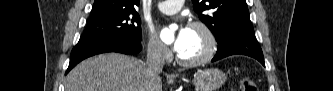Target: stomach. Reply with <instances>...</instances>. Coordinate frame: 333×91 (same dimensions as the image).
<instances>
[{"label":"stomach","mask_w":333,"mask_h":91,"mask_svg":"<svg viewBox=\"0 0 333 91\" xmlns=\"http://www.w3.org/2000/svg\"><path fill=\"white\" fill-rule=\"evenodd\" d=\"M225 74L218 69H206L198 72L194 77L196 91H216L225 82Z\"/></svg>","instance_id":"1"}]
</instances>
